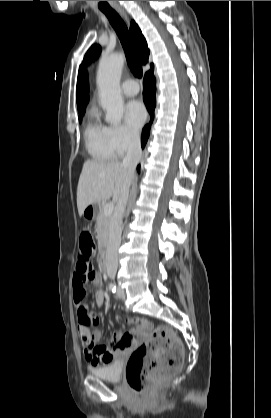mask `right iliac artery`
Masks as SVG:
<instances>
[{
  "mask_svg": "<svg viewBox=\"0 0 271 418\" xmlns=\"http://www.w3.org/2000/svg\"><path fill=\"white\" fill-rule=\"evenodd\" d=\"M109 290L113 293L116 292V285L114 283H110L109 284Z\"/></svg>",
  "mask_w": 271,
  "mask_h": 418,
  "instance_id": "obj_1",
  "label": "right iliac artery"
}]
</instances>
